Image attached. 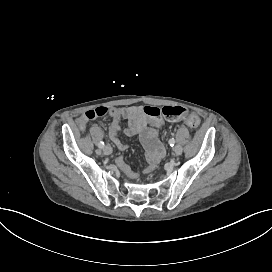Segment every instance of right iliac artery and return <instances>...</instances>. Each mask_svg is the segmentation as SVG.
I'll list each match as a JSON object with an SVG mask.
<instances>
[{"mask_svg": "<svg viewBox=\"0 0 272 272\" xmlns=\"http://www.w3.org/2000/svg\"><path fill=\"white\" fill-rule=\"evenodd\" d=\"M99 148L102 149L104 147V142L101 141L99 144H98Z\"/></svg>", "mask_w": 272, "mask_h": 272, "instance_id": "82829eb1", "label": "right iliac artery"}]
</instances>
